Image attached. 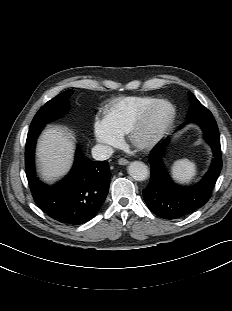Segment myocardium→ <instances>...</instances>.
<instances>
[{
	"label": "myocardium",
	"mask_w": 232,
	"mask_h": 311,
	"mask_svg": "<svg viewBox=\"0 0 232 311\" xmlns=\"http://www.w3.org/2000/svg\"><path fill=\"white\" fill-rule=\"evenodd\" d=\"M167 107L168 114L162 121L160 126L150 135L142 136V130L149 120L150 116L160 107ZM176 114L175 106L168 100L157 99L155 102L147 106L134 121L130 127L127 136L130 144L138 149H148L155 146L168 131Z\"/></svg>",
	"instance_id": "obj_1"
}]
</instances>
